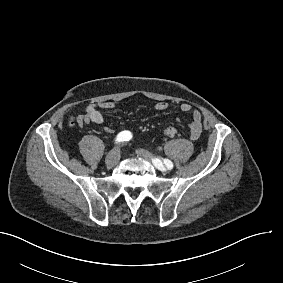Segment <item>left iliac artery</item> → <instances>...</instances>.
Wrapping results in <instances>:
<instances>
[{
    "label": "left iliac artery",
    "instance_id": "1",
    "mask_svg": "<svg viewBox=\"0 0 283 283\" xmlns=\"http://www.w3.org/2000/svg\"><path fill=\"white\" fill-rule=\"evenodd\" d=\"M153 163L157 167V166L160 165L161 162L158 159H156V160L153 161ZM164 163L169 169L173 168V163L170 160L164 159Z\"/></svg>",
    "mask_w": 283,
    "mask_h": 283
}]
</instances>
